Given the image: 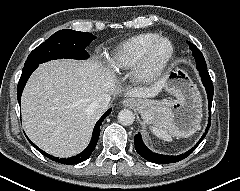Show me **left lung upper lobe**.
<instances>
[{"label": "left lung upper lobe", "mask_w": 240, "mask_h": 191, "mask_svg": "<svg viewBox=\"0 0 240 191\" xmlns=\"http://www.w3.org/2000/svg\"><path fill=\"white\" fill-rule=\"evenodd\" d=\"M187 43L189 45V48L192 51V54H193V56L195 58V61H196V64L200 65V66H203V67H206L204 57H203L202 53L200 52V50L195 45H193L191 42H187Z\"/></svg>", "instance_id": "1"}]
</instances>
